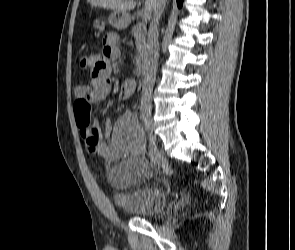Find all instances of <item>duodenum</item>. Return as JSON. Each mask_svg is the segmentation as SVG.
Wrapping results in <instances>:
<instances>
[{"instance_id": "duodenum-1", "label": "duodenum", "mask_w": 295, "mask_h": 250, "mask_svg": "<svg viewBox=\"0 0 295 250\" xmlns=\"http://www.w3.org/2000/svg\"><path fill=\"white\" fill-rule=\"evenodd\" d=\"M148 63L145 55H141L137 59L136 71L139 76H144L147 73Z\"/></svg>"}]
</instances>
